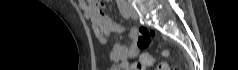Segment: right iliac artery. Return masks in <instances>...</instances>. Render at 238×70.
<instances>
[{
	"mask_svg": "<svg viewBox=\"0 0 238 70\" xmlns=\"http://www.w3.org/2000/svg\"><path fill=\"white\" fill-rule=\"evenodd\" d=\"M117 5H118V8H119V11H120L121 15L124 18L128 19L130 14L128 12V9H127V6L125 4V1L124 0H118L117 1Z\"/></svg>",
	"mask_w": 238,
	"mask_h": 70,
	"instance_id": "1",
	"label": "right iliac artery"
}]
</instances>
